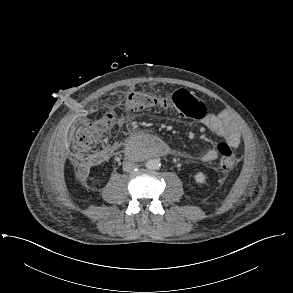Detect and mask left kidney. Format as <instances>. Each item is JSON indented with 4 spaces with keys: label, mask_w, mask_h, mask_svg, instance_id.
<instances>
[{
    "label": "left kidney",
    "mask_w": 293,
    "mask_h": 293,
    "mask_svg": "<svg viewBox=\"0 0 293 293\" xmlns=\"http://www.w3.org/2000/svg\"><path fill=\"white\" fill-rule=\"evenodd\" d=\"M194 179L196 183L203 184L206 182V175L202 172H198L194 175Z\"/></svg>",
    "instance_id": "5707ae66"
}]
</instances>
